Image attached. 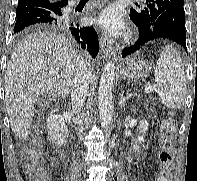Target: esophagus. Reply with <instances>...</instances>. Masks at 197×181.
I'll list each match as a JSON object with an SVG mask.
<instances>
[{
	"label": "esophagus",
	"instance_id": "1",
	"mask_svg": "<svg viewBox=\"0 0 197 181\" xmlns=\"http://www.w3.org/2000/svg\"><path fill=\"white\" fill-rule=\"evenodd\" d=\"M100 47H101L102 53L106 57L113 56L116 53L115 48L113 46V41L107 35H102L101 36Z\"/></svg>",
	"mask_w": 197,
	"mask_h": 181
}]
</instances>
